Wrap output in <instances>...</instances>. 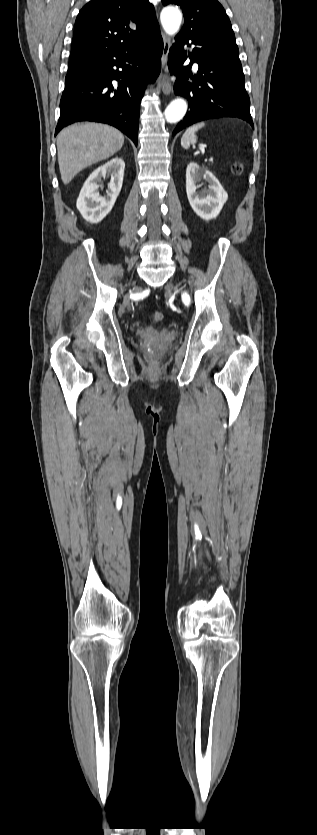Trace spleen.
Wrapping results in <instances>:
<instances>
[{
    "mask_svg": "<svg viewBox=\"0 0 317 835\" xmlns=\"http://www.w3.org/2000/svg\"><path fill=\"white\" fill-rule=\"evenodd\" d=\"M205 126L204 122L194 124L190 126L183 134L181 138V146L185 149H188L190 145H193L197 142L196 132Z\"/></svg>",
    "mask_w": 317,
    "mask_h": 835,
    "instance_id": "obj_1",
    "label": "spleen"
}]
</instances>
